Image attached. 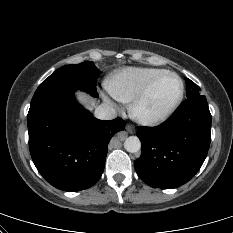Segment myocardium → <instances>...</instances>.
<instances>
[{
  "mask_svg": "<svg viewBox=\"0 0 233 233\" xmlns=\"http://www.w3.org/2000/svg\"><path fill=\"white\" fill-rule=\"evenodd\" d=\"M165 75H171L177 79L179 83V92H178L177 97L164 111H162L161 113L155 116H145L141 114L140 112L141 104L146 99V97L149 95L150 91L152 90L156 82ZM184 92H185V87H184L182 78L173 71L164 70L158 73L157 75H155L132 99L129 105L130 114L135 120H137L141 124H144V125L160 124L164 122L165 120H167L175 112V110L178 108V106L182 102V99L184 97Z\"/></svg>",
  "mask_w": 233,
  "mask_h": 233,
  "instance_id": "myocardium-1",
  "label": "myocardium"
}]
</instances>
